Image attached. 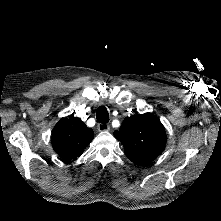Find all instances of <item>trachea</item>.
<instances>
[{"mask_svg":"<svg viewBox=\"0 0 221 221\" xmlns=\"http://www.w3.org/2000/svg\"><path fill=\"white\" fill-rule=\"evenodd\" d=\"M96 118L100 123H108L109 122V113L105 106L98 107L96 111Z\"/></svg>","mask_w":221,"mask_h":221,"instance_id":"trachea-1","label":"trachea"}]
</instances>
